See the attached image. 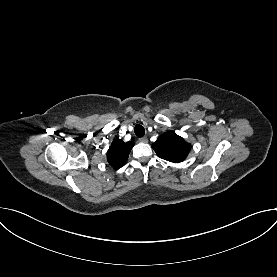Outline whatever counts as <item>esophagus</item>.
<instances>
[{
	"instance_id": "obj_1",
	"label": "esophagus",
	"mask_w": 277,
	"mask_h": 277,
	"mask_svg": "<svg viewBox=\"0 0 277 277\" xmlns=\"http://www.w3.org/2000/svg\"><path fill=\"white\" fill-rule=\"evenodd\" d=\"M138 141L140 143H147L148 142V138L147 137H141V138L138 139Z\"/></svg>"
}]
</instances>
